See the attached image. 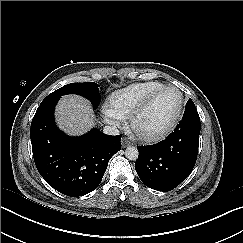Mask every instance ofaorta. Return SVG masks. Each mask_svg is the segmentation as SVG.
Returning <instances> with one entry per match:
<instances>
[{"label": "aorta", "mask_w": 243, "mask_h": 243, "mask_svg": "<svg viewBox=\"0 0 243 243\" xmlns=\"http://www.w3.org/2000/svg\"><path fill=\"white\" fill-rule=\"evenodd\" d=\"M139 152L136 147L129 146L125 150V156L129 160H136L138 158Z\"/></svg>", "instance_id": "obj_1"}]
</instances>
